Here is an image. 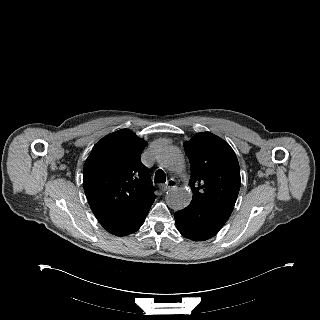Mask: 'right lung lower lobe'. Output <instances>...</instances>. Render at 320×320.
<instances>
[{
  "label": "right lung lower lobe",
  "instance_id": "1",
  "mask_svg": "<svg viewBox=\"0 0 320 320\" xmlns=\"http://www.w3.org/2000/svg\"><path fill=\"white\" fill-rule=\"evenodd\" d=\"M151 207V206H150ZM150 207L116 218L105 220L101 225L111 234L125 236L137 231L143 224Z\"/></svg>",
  "mask_w": 320,
  "mask_h": 320
}]
</instances>
